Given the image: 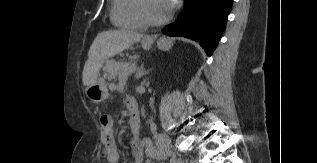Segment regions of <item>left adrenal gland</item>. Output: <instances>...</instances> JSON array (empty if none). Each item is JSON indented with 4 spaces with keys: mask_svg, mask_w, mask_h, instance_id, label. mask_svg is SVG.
<instances>
[{
    "mask_svg": "<svg viewBox=\"0 0 317 163\" xmlns=\"http://www.w3.org/2000/svg\"><path fill=\"white\" fill-rule=\"evenodd\" d=\"M148 71H149V70L145 71V69H144V64H142L141 67L139 68V70L137 71L136 78H137V79L141 78L142 76H144L145 74H147Z\"/></svg>",
    "mask_w": 317,
    "mask_h": 163,
    "instance_id": "left-adrenal-gland-1",
    "label": "left adrenal gland"
}]
</instances>
